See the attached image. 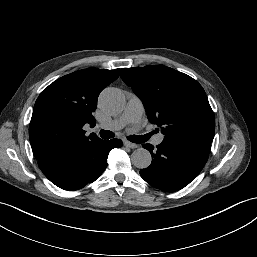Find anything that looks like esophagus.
<instances>
[{
    "mask_svg": "<svg viewBox=\"0 0 257 257\" xmlns=\"http://www.w3.org/2000/svg\"><path fill=\"white\" fill-rule=\"evenodd\" d=\"M124 145H125L126 147H129V148H132V149H135V148H138V147H139L138 144L131 143V142H129V141H124Z\"/></svg>",
    "mask_w": 257,
    "mask_h": 257,
    "instance_id": "1",
    "label": "esophagus"
}]
</instances>
